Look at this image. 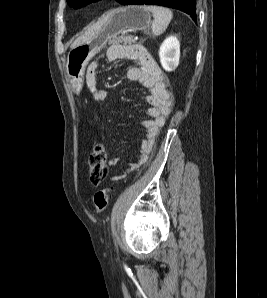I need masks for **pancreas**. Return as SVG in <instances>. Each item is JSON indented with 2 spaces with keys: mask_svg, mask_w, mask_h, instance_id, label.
<instances>
[{
  "mask_svg": "<svg viewBox=\"0 0 267 298\" xmlns=\"http://www.w3.org/2000/svg\"><path fill=\"white\" fill-rule=\"evenodd\" d=\"M120 42V43H124L125 45H131L133 43H135V40L133 39V36L131 35H125V36H119L116 40L113 41L114 42Z\"/></svg>",
  "mask_w": 267,
  "mask_h": 298,
  "instance_id": "cf45deb5",
  "label": "pancreas"
}]
</instances>
